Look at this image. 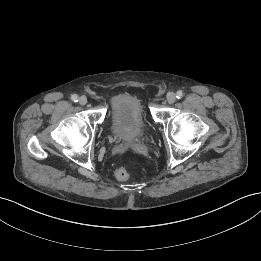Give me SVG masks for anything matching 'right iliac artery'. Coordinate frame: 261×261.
Returning <instances> with one entry per match:
<instances>
[{"label": "right iliac artery", "instance_id": "82829eb1", "mask_svg": "<svg viewBox=\"0 0 261 261\" xmlns=\"http://www.w3.org/2000/svg\"><path fill=\"white\" fill-rule=\"evenodd\" d=\"M71 99H72L73 102H78V96L75 95V94L72 95Z\"/></svg>", "mask_w": 261, "mask_h": 261}]
</instances>
